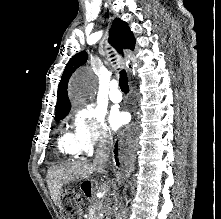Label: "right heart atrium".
<instances>
[{
	"label": "right heart atrium",
	"instance_id": "obj_1",
	"mask_svg": "<svg viewBox=\"0 0 221 219\" xmlns=\"http://www.w3.org/2000/svg\"><path fill=\"white\" fill-rule=\"evenodd\" d=\"M72 129L80 154L90 155L107 144L109 133L102 114L96 110L76 109L73 114Z\"/></svg>",
	"mask_w": 221,
	"mask_h": 219
}]
</instances>
